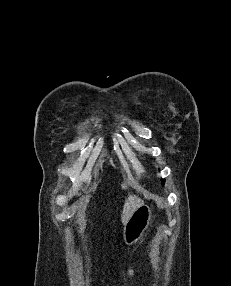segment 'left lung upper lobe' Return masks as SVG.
Instances as JSON below:
<instances>
[{"label":"left lung upper lobe","mask_w":231,"mask_h":286,"mask_svg":"<svg viewBox=\"0 0 231 286\" xmlns=\"http://www.w3.org/2000/svg\"><path fill=\"white\" fill-rule=\"evenodd\" d=\"M162 184H164V180H162Z\"/></svg>","instance_id":"5c2ea615"}]
</instances>
